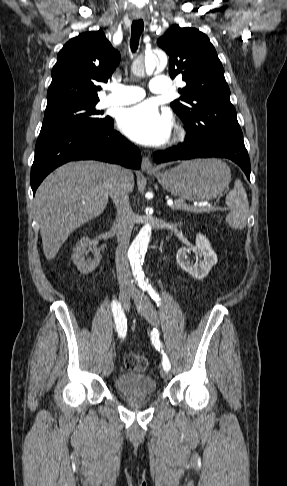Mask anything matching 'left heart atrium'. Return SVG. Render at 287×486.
Returning <instances> with one entry per match:
<instances>
[{
    "label": "left heart atrium",
    "mask_w": 287,
    "mask_h": 486,
    "mask_svg": "<svg viewBox=\"0 0 287 486\" xmlns=\"http://www.w3.org/2000/svg\"><path fill=\"white\" fill-rule=\"evenodd\" d=\"M171 125V117L160 113L151 102L125 109L119 118V127L126 136L150 146L165 143L170 136Z\"/></svg>",
    "instance_id": "left-heart-atrium-1"
}]
</instances>
